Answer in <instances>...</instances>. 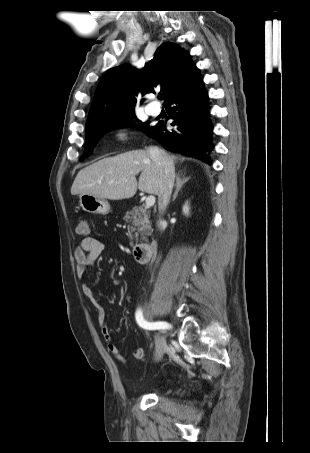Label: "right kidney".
Segmentation results:
<instances>
[{
    "label": "right kidney",
    "instance_id": "right-kidney-1",
    "mask_svg": "<svg viewBox=\"0 0 310 453\" xmlns=\"http://www.w3.org/2000/svg\"><path fill=\"white\" fill-rule=\"evenodd\" d=\"M183 213L185 215H188L189 214V206H188V202L185 203V205L183 206Z\"/></svg>",
    "mask_w": 310,
    "mask_h": 453
}]
</instances>
